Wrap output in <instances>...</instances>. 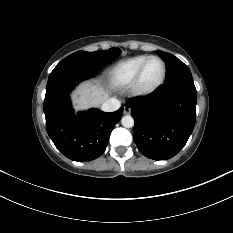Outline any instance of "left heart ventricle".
<instances>
[{"mask_svg":"<svg viewBox=\"0 0 233 233\" xmlns=\"http://www.w3.org/2000/svg\"><path fill=\"white\" fill-rule=\"evenodd\" d=\"M163 67L158 59L150 60L144 70L142 76V85L144 87H149L156 84L162 75Z\"/></svg>","mask_w":233,"mask_h":233,"instance_id":"b2bd125f","label":"left heart ventricle"}]
</instances>
